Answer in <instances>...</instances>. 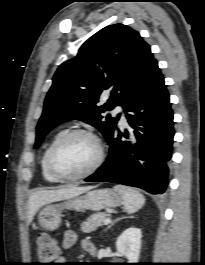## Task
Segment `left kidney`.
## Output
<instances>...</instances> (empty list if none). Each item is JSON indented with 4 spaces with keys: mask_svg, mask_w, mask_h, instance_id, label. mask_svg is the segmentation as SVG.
Segmentation results:
<instances>
[{
    "mask_svg": "<svg viewBox=\"0 0 205 265\" xmlns=\"http://www.w3.org/2000/svg\"><path fill=\"white\" fill-rule=\"evenodd\" d=\"M142 231L131 227L126 229L117 239L116 248L128 259V263H138L141 249Z\"/></svg>",
    "mask_w": 205,
    "mask_h": 265,
    "instance_id": "1",
    "label": "left kidney"
}]
</instances>
